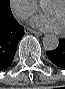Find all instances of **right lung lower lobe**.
I'll return each instance as SVG.
<instances>
[{
  "instance_id": "98d812e1",
  "label": "right lung lower lobe",
  "mask_w": 65,
  "mask_h": 89,
  "mask_svg": "<svg viewBox=\"0 0 65 89\" xmlns=\"http://www.w3.org/2000/svg\"><path fill=\"white\" fill-rule=\"evenodd\" d=\"M24 27L19 25L12 13L0 9V71L12 62Z\"/></svg>"
}]
</instances>
